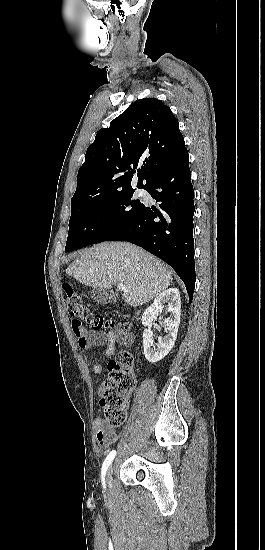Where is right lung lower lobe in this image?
<instances>
[{"mask_svg": "<svg viewBox=\"0 0 265 550\" xmlns=\"http://www.w3.org/2000/svg\"><path fill=\"white\" fill-rule=\"evenodd\" d=\"M185 148L160 171L146 190L160 209L145 206L131 222L105 241H128L169 264L183 280L189 301L195 286L194 264V190Z\"/></svg>", "mask_w": 265, "mask_h": 550, "instance_id": "98d812e1", "label": "right lung lower lobe"}]
</instances>
